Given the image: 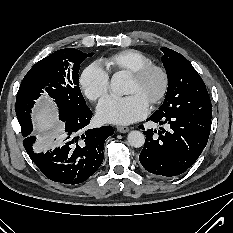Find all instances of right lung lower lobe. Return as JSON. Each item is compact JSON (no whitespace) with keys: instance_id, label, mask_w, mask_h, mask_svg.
<instances>
[{"instance_id":"right-lung-lower-lobe-1","label":"right lung lower lobe","mask_w":233,"mask_h":233,"mask_svg":"<svg viewBox=\"0 0 233 233\" xmlns=\"http://www.w3.org/2000/svg\"><path fill=\"white\" fill-rule=\"evenodd\" d=\"M91 118L89 108L79 114L65 116L59 135L47 145L37 141L35 136L24 137L26 152L47 178L65 184H79L100 167L104 158V142L114 130L111 126H102L85 131Z\"/></svg>"}]
</instances>
